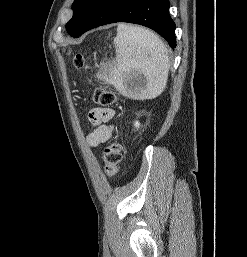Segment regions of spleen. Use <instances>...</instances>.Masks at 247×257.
Listing matches in <instances>:
<instances>
[{"mask_svg": "<svg viewBox=\"0 0 247 257\" xmlns=\"http://www.w3.org/2000/svg\"><path fill=\"white\" fill-rule=\"evenodd\" d=\"M114 44L117 64L109 66L108 75L98 74V78L126 96L152 99L160 95L169 72L168 50L161 39L146 28L119 24ZM137 74L143 75L145 85L137 94H131L126 83Z\"/></svg>", "mask_w": 247, "mask_h": 257, "instance_id": "spleen-1", "label": "spleen"}]
</instances>
